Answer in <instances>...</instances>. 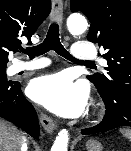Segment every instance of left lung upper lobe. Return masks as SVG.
<instances>
[{"label":"left lung upper lobe","instance_id":"1","mask_svg":"<svg viewBox=\"0 0 131 151\" xmlns=\"http://www.w3.org/2000/svg\"><path fill=\"white\" fill-rule=\"evenodd\" d=\"M72 12L90 21L87 39L104 50L106 74L88 75L100 95L131 99V1L71 0Z\"/></svg>","mask_w":131,"mask_h":151}]
</instances>
